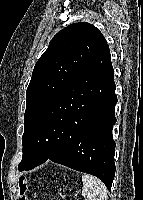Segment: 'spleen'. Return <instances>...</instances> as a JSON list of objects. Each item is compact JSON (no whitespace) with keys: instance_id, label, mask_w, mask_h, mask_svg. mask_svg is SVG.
Instances as JSON below:
<instances>
[{"instance_id":"3e777b00","label":"spleen","mask_w":143,"mask_h":200,"mask_svg":"<svg viewBox=\"0 0 143 200\" xmlns=\"http://www.w3.org/2000/svg\"><path fill=\"white\" fill-rule=\"evenodd\" d=\"M82 183V196L85 200H108L107 188L97 177L84 174Z\"/></svg>"}]
</instances>
